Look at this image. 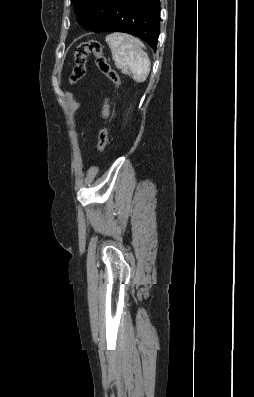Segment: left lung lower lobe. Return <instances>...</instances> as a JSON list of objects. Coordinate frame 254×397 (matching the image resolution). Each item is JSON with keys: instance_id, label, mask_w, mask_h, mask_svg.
Wrapping results in <instances>:
<instances>
[{"instance_id": "left-lung-lower-lobe-1", "label": "left lung lower lobe", "mask_w": 254, "mask_h": 397, "mask_svg": "<svg viewBox=\"0 0 254 397\" xmlns=\"http://www.w3.org/2000/svg\"><path fill=\"white\" fill-rule=\"evenodd\" d=\"M159 23L160 0H107L103 20L93 31L130 33L156 50Z\"/></svg>"}]
</instances>
